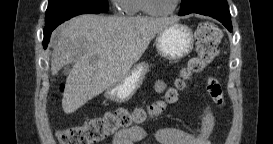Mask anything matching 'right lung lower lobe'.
<instances>
[{"mask_svg": "<svg viewBox=\"0 0 273 144\" xmlns=\"http://www.w3.org/2000/svg\"><path fill=\"white\" fill-rule=\"evenodd\" d=\"M99 14V13H102L100 11H97L95 9H92V8H81V9H74V10H70V11H66L62 14H59L57 15L53 21L51 22L50 25L48 26H45V29H44V40H43V47L44 49L47 48V45H48V42L50 40V36H51V33L52 31L58 26L60 25L61 23H63L64 21L74 17V16H77V15H80V14Z\"/></svg>", "mask_w": 273, "mask_h": 144, "instance_id": "obj_1", "label": "right lung lower lobe"}]
</instances>
